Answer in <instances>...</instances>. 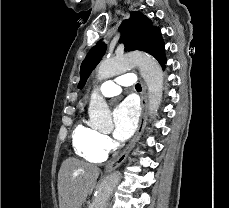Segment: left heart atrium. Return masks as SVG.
I'll return each mask as SVG.
<instances>
[{
  "label": "left heart atrium",
  "instance_id": "39dd6f15",
  "mask_svg": "<svg viewBox=\"0 0 229 208\" xmlns=\"http://www.w3.org/2000/svg\"><path fill=\"white\" fill-rule=\"evenodd\" d=\"M138 111L133 102L125 100L119 104L113 113V135L118 141L128 139L134 132L137 124Z\"/></svg>",
  "mask_w": 229,
  "mask_h": 208
}]
</instances>
